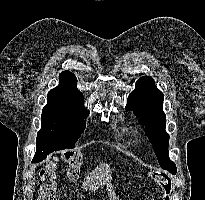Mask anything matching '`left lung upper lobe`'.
Returning a JSON list of instances; mask_svg holds the SVG:
<instances>
[{"mask_svg":"<svg viewBox=\"0 0 205 200\" xmlns=\"http://www.w3.org/2000/svg\"><path fill=\"white\" fill-rule=\"evenodd\" d=\"M163 93L157 89L154 80L149 76L141 77L136 88L127 99L126 109L133 111L144 125L161 168L175 169L174 162L169 159V134L165 131L166 116L163 112Z\"/></svg>","mask_w":205,"mask_h":200,"instance_id":"obj_1","label":"left lung upper lobe"}]
</instances>
